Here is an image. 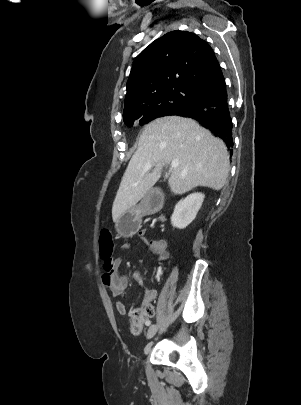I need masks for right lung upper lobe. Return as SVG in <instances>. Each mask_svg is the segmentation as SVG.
<instances>
[{"label": "right lung upper lobe", "mask_w": 301, "mask_h": 405, "mask_svg": "<svg viewBox=\"0 0 301 405\" xmlns=\"http://www.w3.org/2000/svg\"><path fill=\"white\" fill-rule=\"evenodd\" d=\"M224 77L209 44L186 31H172L152 42L137 57L129 79L124 112L157 93L176 88L208 92Z\"/></svg>", "instance_id": "1"}]
</instances>
